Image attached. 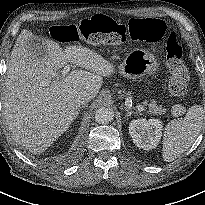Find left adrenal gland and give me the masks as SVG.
<instances>
[{"instance_id": "obj_1", "label": "left adrenal gland", "mask_w": 205, "mask_h": 205, "mask_svg": "<svg viewBox=\"0 0 205 205\" xmlns=\"http://www.w3.org/2000/svg\"><path fill=\"white\" fill-rule=\"evenodd\" d=\"M125 110L127 111V114H126L127 117H128V116H131L132 114H137V113H138V112H134V111L130 110V109L127 108V107H125Z\"/></svg>"}]
</instances>
